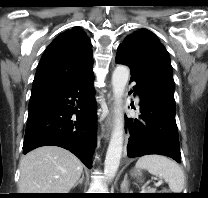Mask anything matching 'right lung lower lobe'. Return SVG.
Returning <instances> with one entry per match:
<instances>
[{
	"label": "right lung lower lobe",
	"instance_id": "1",
	"mask_svg": "<svg viewBox=\"0 0 208 198\" xmlns=\"http://www.w3.org/2000/svg\"><path fill=\"white\" fill-rule=\"evenodd\" d=\"M93 78L92 71L66 88L30 98L24 154L54 145L91 167L97 131Z\"/></svg>",
	"mask_w": 208,
	"mask_h": 198
}]
</instances>
